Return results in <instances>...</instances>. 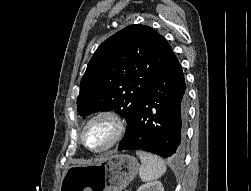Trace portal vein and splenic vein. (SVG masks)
I'll return each instance as SVG.
<instances>
[{
	"mask_svg": "<svg viewBox=\"0 0 251 191\" xmlns=\"http://www.w3.org/2000/svg\"><path fill=\"white\" fill-rule=\"evenodd\" d=\"M124 191H129V189H128V188H125Z\"/></svg>",
	"mask_w": 251,
	"mask_h": 191,
	"instance_id": "obj_1",
	"label": "portal vein and splenic vein"
}]
</instances>
